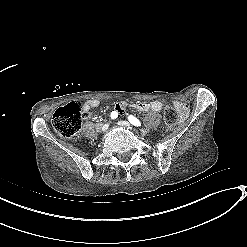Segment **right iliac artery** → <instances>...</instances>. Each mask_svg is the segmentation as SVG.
Masks as SVG:
<instances>
[{
  "label": "right iliac artery",
  "instance_id": "82829eb1",
  "mask_svg": "<svg viewBox=\"0 0 247 247\" xmlns=\"http://www.w3.org/2000/svg\"><path fill=\"white\" fill-rule=\"evenodd\" d=\"M110 116L112 119H116L118 117V113L116 111H112Z\"/></svg>",
  "mask_w": 247,
  "mask_h": 247
}]
</instances>
